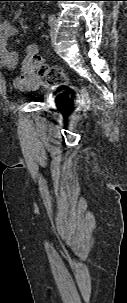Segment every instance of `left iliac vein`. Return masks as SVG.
<instances>
[{"label":"left iliac vein","instance_id":"left-iliac-vein-1","mask_svg":"<svg viewBox=\"0 0 127 303\" xmlns=\"http://www.w3.org/2000/svg\"><path fill=\"white\" fill-rule=\"evenodd\" d=\"M57 30V24L55 23L50 30V38L52 41L56 40L57 38Z\"/></svg>","mask_w":127,"mask_h":303}]
</instances>
